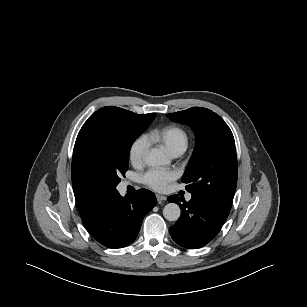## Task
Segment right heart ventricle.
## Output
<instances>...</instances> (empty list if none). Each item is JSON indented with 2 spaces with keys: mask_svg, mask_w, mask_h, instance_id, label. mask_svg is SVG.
<instances>
[{
  "mask_svg": "<svg viewBox=\"0 0 307 307\" xmlns=\"http://www.w3.org/2000/svg\"><path fill=\"white\" fill-rule=\"evenodd\" d=\"M148 137L151 141L164 145L171 154L183 153L189 141L187 132L175 125L154 129L150 131Z\"/></svg>",
  "mask_w": 307,
  "mask_h": 307,
  "instance_id": "e07e8e85",
  "label": "right heart ventricle"
}]
</instances>
